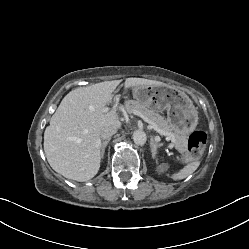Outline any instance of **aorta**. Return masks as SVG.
<instances>
[{
    "label": "aorta",
    "instance_id": "aorta-1",
    "mask_svg": "<svg viewBox=\"0 0 249 249\" xmlns=\"http://www.w3.org/2000/svg\"><path fill=\"white\" fill-rule=\"evenodd\" d=\"M147 140L146 133L142 130H136L133 132V141L136 145H144Z\"/></svg>",
    "mask_w": 249,
    "mask_h": 249
}]
</instances>
